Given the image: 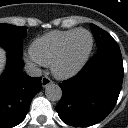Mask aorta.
Masks as SVG:
<instances>
[{"instance_id":"obj_1","label":"aorta","mask_w":128,"mask_h":128,"mask_svg":"<svg viewBox=\"0 0 128 128\" xmlns=\"http://www.w3.org/2000/svg\"><path fill=\"white\" fill-rule=\"evenodd\" d=\"M45 95L50 101H59L62 97V90L57 84L50 83L46 86Z\"/></svg>"}]
</instances>
